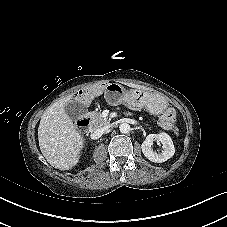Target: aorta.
I'll use <instances>...</instances> for the list:
<instances>
[{
	"label": "aorta",
	"mask_w": 227,
	"mask_h": 227,
	"mask_svg": "<svg viewBox=\"0 0 227 227\" xmlns=\"http://www.w3.org/2000/svg\"><path fill=\"white\" fill-rule=\"evenodd\" d=\"M130 125L127 124V123H122L120 126H119V130L121 133H128L130 131Z\"/></svg>",
	"instance_id": "762f6f07"
}]
</instances>
